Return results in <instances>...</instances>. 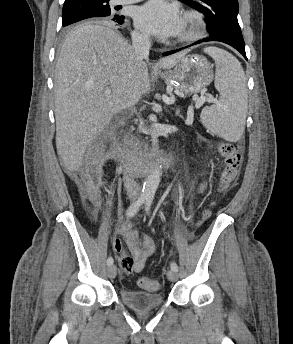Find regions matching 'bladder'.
Masks as SVG:
<instances>
[{"label": "bladder", "mask_w": 293, "mask_h": 344, "mask_svg": "<svg viewBox=\"0 0 293 344\" xmlns=\"http://www.w3.org/2000/svg\"><path fill=\"white\" fill-rule=\"evenodd\" d=\"M119 294L124 304L137 311L155 309L164 303L162 293L138 291L122 287Z\"/></svg>", "instance_id": "bladder-1"}]
</instances>
